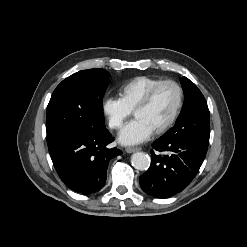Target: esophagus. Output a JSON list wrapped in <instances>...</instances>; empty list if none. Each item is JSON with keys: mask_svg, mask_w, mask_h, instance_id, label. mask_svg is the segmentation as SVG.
<instances>
[{"mask_svg": "<svg viewBox=\"0 0 247 247\" xmlns=\"http://www.w3.org/2000/svg\"><path fill=\"white\" fill-rule=\"evenodd\" d=\"M138 150H141V148H139V147H128V148H126V152L127 153H133V152L138 151Z\"/></svg>", "mask_w": 247, "mask_h": 247, "instance_id": "34e87169", "label": "esophagus"}]
</instances>
